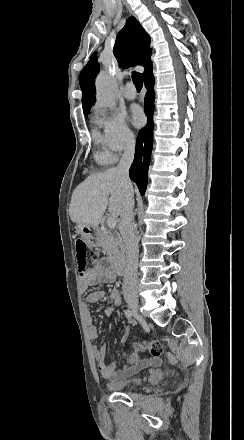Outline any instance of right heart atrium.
I'll list each match as a JSON object with an SVG mask.
<instances>
[{
	"label": "right heart atrium",
	"mask_w": 244,
	"mask_h": 440,
	"mask_svg": "<svg viewBox=\"0 0 244 440\" xmlns=\"http://www.w3.org/2000/svg\"><path fill=\"white\" fill-rule=\"evenodd\" d=\"M94 122L103 130L104 147L112 155L121 153L134 143V133L124 115L98 102L93 107Z\"/></svg>",
	"instance_id": "right-heart-atrium-1"
}]
</instances>
